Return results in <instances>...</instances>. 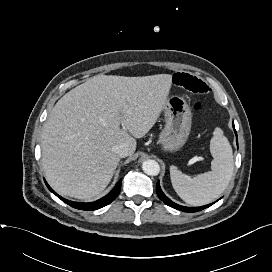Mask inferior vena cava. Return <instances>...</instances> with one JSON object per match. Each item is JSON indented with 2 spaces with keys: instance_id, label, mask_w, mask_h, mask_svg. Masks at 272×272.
<instances>
[{
  "instance_id": "602c4592",
  "label": "inferior vena cava",
  "mask_w": 272,
  "mask_h": 272,
  "mask_svg": "<svg viewBox=\"0 0 272 272\" xmlns=\"http://www.w3.org/2000/svg\"><path fill=\"white\" fill-rule=\"evenodd\" d=\"M113 151L120 157H127L130 153L129 147L126 143H120L113 147Z\"/></svg>"
}]
</instances>
